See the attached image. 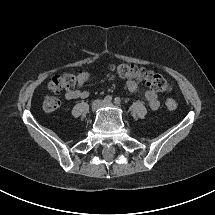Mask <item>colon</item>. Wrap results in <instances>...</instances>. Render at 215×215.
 Wrapping results in <instances>:
<instances>
[{
  "label": "colon",
  "mask_w": 215,
  "mask_h": 215,
  "mask_svg": "<svg viewBox=\"0 0 215 215\" xmlns=\"http://www.w3.org/2000/svg\"><path fill=\"white\" fill-rule=\"evenodd\" d=\"M112 70L122 78L136 79L155 91L165 92L170 89L168 81L161 75L150 70L140 68L129 63H121L112 67ZM78 84V76L74 74H62L54 76L48 83V88L54 93L62 90H73ZM60 101L55 96H47L43 100V108L47 112L58 109ZM165 107L168 110H175L177 102L174 98L165 100Z\"/></svg>",
  "instance_id": "obj_1"
}]
</instances>
